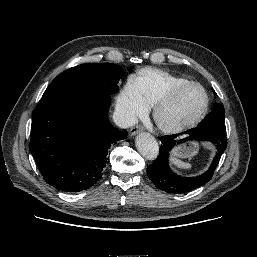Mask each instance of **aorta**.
<instances>
[{
  "label": "aorta",
  "mask_w": 257,
  "mask_h": 257,
  "mask_svg": "<svg viewBox=\"0 0 257 257\" xmlns=\"http://www.w3.org/2000/svg\"><path fill=\"white\" fill-rule=\"evenodd\" d=\"M138 152L148 160H154L158 156L159 146L156 139L149 133L142 132L136 137Z\"/></svg>",
  "instance_id": "762f6f07"
}]
</instances>
